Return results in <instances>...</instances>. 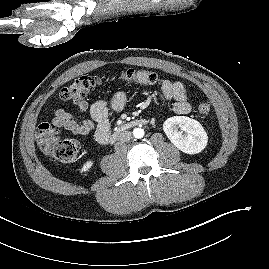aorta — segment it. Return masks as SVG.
<instances>
[{
    "label": "aorta",
    "mask_w": 269,
    "mask_h": 269,
    "mask_svg": "<svg viewBox=\"0 0 269 269\" xmlns=\"http://www.w3.org/2000/svg\"><path fill=\"white\" fill-rule=\"evenodd\" d=\"M133 136L135 138H138V139L142 138L144 136V130L142 128H139V127L135 128L133 130Z\"/></svg>",
    "instance_id": "762f6f07"
}]
</instances>
